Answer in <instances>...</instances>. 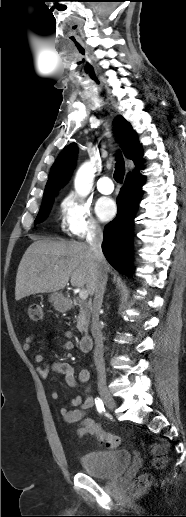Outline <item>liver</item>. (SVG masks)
Here are the masks:
<instances>
[{
    "label": "liver",
    "instance_id": "1",
    "mask_svg": "<svg viewBox=\"0 0 186 517\" xmlns=\"http://www.w3.org/2000/svg\"><path fill=\"white\" fill-rule=\"evenodd\" d=\"M109 271V265L105 264ZM96 261L90 246L82 242L38 240L24 253L16 275L15 299L56 292L69 282L86 286L94 294Z\"/></svg>",
    "mask_w": 186,
    "mask_h": 517
}]
</instances>
